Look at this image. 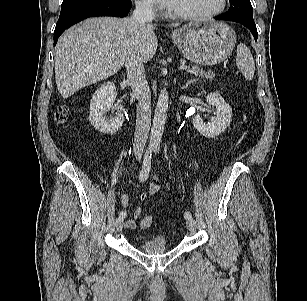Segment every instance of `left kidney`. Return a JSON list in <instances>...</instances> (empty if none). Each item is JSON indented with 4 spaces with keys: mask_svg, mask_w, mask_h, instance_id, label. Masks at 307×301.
I'll list each match as a JSON object with an SVG mask.
<instances>
[{
    "mask_svg": "<svg viewBox=\"0 0 307 301\" xmlns=\"http://www.w3.org/2000/svg\"><path fill=\"white\" fill-rule=\"evenodd\" d=\"M209 105L216 107V115L211 118V123H204L200 116L193 118V126L199 133L208 138L220 135L230 124L232 109L218 93L207 96Z\"/></svg>",
    "mask_w": 307,
    "mask_h": 301,
    "instance_id": "1",
    "label": "left kidney"
}]
</instances>
